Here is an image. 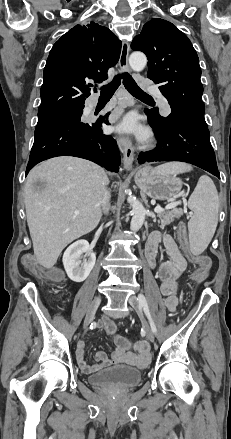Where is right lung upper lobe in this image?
<instances>
[{
    "label": "right lung upper lobe",
    "mask_w": 231,
    "mask_h": 439,
    "mask_svg": "<svg viewBox=\"0 0 231 439\" xmlns=\"http://www.w3.org/2000/svg\"><path fill=\"white\" fill-rule=\"evenodd\" d=\"M120 52L117 37L95 22L76 25L64 34L53 45L44 68L38 119L83 109L90 95L86 81L106 80Z\"/></svg>",
    "instance_id": "1"
}]
</instances>
